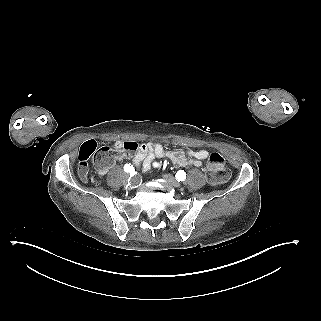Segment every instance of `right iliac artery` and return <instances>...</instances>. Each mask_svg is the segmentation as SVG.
<instances>
[{
    "instance_id": "82829eb1",
    "label": "right iliac artery",
    "mask_w": 321,
    "mask_h": 321,
    "mask_svg": "<svg viewBox=\"0 0 321 321\" xmlns=\"http://www.w3.org/2000/svg\"><path fill=\"white\" fill-rule=\"evenodd\" d=\"M133 170H134L133 165H131L130 163L124 165L125 172H132Z\"/></svg>"
}]
</instances>
